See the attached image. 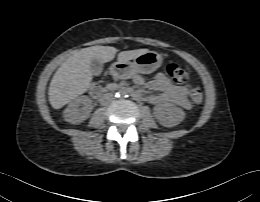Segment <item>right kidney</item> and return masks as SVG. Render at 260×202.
Listing matches in <instances>:
<instances>
[{
  "mask_svg": "<svg viewBox=\"0 0 260 202\" xmlns=\"http://www.w3.org/2000/svg\"><path fill=\"white\" fill-rule=\"evenodd\" d=\"M92 101L88 96H79L69 103L63 112L64 120L79 124L88 119L92 110Z\"/></svg>",
  "mask_w": 260,
  "mask_h": 202,
  "instance_id": "obj_1",
  "label": "right kidney"
}]
</instances>
